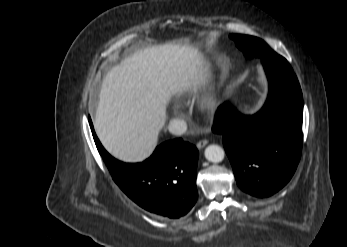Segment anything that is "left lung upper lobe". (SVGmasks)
I'll list each match as a JSON object with an SVG mask.
<instances>
[{"instance_id":"1","label":"left lung upper lobe","mask_w":347,"mask_h":247,"mask_svg":"<svg viewBox=\"0 0 347 247\" xmlns=\"http://www.w3.org/2000/svg\"><path fill=\"white\" fill-rule=\"evenodd\" d=\"M239 49H241L246 56H260L273 58L277 53H275L263 40L241 34H232L230 35Z\"/></svg>"}]
</instances>
